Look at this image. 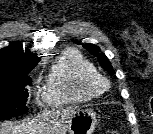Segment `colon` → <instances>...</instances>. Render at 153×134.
Segmentation results:
<instances>
[{
    "mask_svg": "<svg viewBox=\"0 0 153 134\" xmlns=\"http://www.w3.org/2000/svg\"><path fill=\"white\" fill-rule=\"evenodd\" d=\"M105 134H120V133H118L116 131H109V132H106Z\"/></svg>",
    "mask_w": 153,
    "mask_h": 134,
    "instance_id": "5ec220e1",
    "label": "colon"
}]
</instances>
